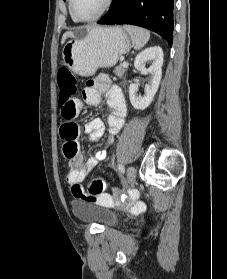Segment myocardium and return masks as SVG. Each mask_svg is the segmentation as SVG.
<instances>
[{
    "label": "myocardium",
    "instance_id": "myocardium-1",
    "mask_svg": "<svg viewBox=\"0 0 227 279\" xmlns=\"http://www.w3.org/2000/svg\"><path fill=\"white\" fill-rule=\"evenodd\" d=\"M112 2H113V0H104V4H103L102 8L100 9V11L97 14H95L94 16L89 17V18H80L75 14L74 7H73L74 0H69V11H70L72 18L78 22H92V21L98 20L103 15H105L108 12V10L110 9Z\"/></svg>",
    "mask_w": 227,
    "mask_h": 279
}]
</instances>
